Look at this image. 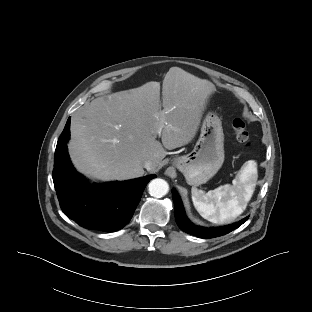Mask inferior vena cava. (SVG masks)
Instances as JSON below:
<instances>
[{
	"label": "inferior vena cava",
	"mask_w": 312,
	"mask_h": 312,
	"mask_svg": "<svg viewBox=\"0 0 312 312\" xmlns=\"http://www.w3.org/2000/svg\"><path fill=\"white\" fill-rule=\"evenodd\" d=\"M143 166L145 169H147L148 171H152L155 169L156 165L152 160H146L143 163Z\"/></svg>",
	"instance_id": "602c4592"
}]
</instances>
